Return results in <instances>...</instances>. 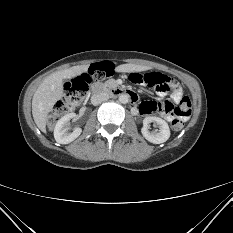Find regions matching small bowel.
Masks as SVG:
<instances>
[{"label":"small bowel","instance_id":"small-bowel-1","mask_svg":"<svg viewBox=\"0 0 233 233\" xmlns=\"http://www.w3.org/2000/svg\"><path fill=\"white\" fill-rule=\"evenodd\" d=\"M172 81L174 83V87L170 89L171 90L170 96L172 101L178 104L184 98V93L180 87V84L176 80L172 79ZM167 91H159V92L160 94L164 95L166 94ZM153 103L154 102L151 101L144 102L139 106L137 110L135 109V111L140 112L141 114L146 116L158 112L168 121H171L176 116L174 110L169 107L170 105L169 103H160V108L158 109L152 108Z\"/></svg>","mask_w":233,"mask_h":233}]
</instances>
